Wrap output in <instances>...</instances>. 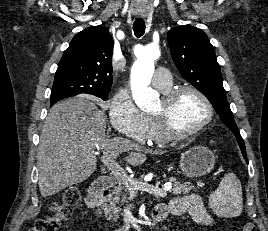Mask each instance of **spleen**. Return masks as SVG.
I'll return each instance as SVG.
<instances>
[{
  "mask_svg": "<svg viewBox=\"0 0 268 231\" xmlns=\"http://www.w3.org/2000/svg\"><path fill=\"white\" fill-rule=\"evenodd\" d=\"M209 205L219 217L233 218L243 210L242 187L234 173H228L221 180L219 187L209 197Z\"/></svg>",
  "mask_w": 268,
  "mask_h": 231,
  "instance_id": "obj_1",
  "label": "spleen"
}]
</instances>
